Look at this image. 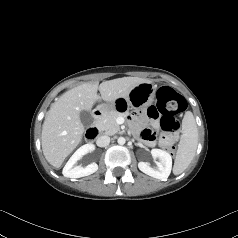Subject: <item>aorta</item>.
Wrapping results in <instances>:
<instances>
[{
	"label": "aorta",
	"mask_w": 238,
	"mask_h": 238,
	"mask_svg": "<svg viewBox=\"0 0 238 238\" xmlns=\"http://www.w3.org/2000/svg\"><path fill=\"white\" fill-rule=\"evenodd\" d=\"M117 142L119 145H124L126 143V139L124 137H119Z\"/></svg>",
	"instance_id": "aorta-1"
}]
</instances>
